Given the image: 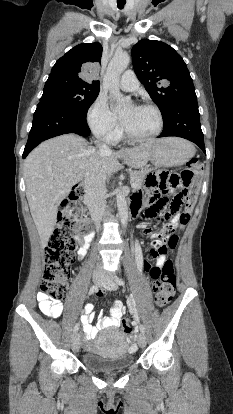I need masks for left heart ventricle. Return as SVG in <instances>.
Instances as JSON below:
<instances>
[{
	"label": "left heart ventricle",
	"instance_id": "left-heart-ventricle-1",
	"mask_svg": "<svg viewBox=\"0 0 233 414\" xmlns=\"http://www.w3.org/2000/svg\"><path fill=\"white\" fill-rule=\"evenodd\" d=\"M126 127L135 135L148 136L158 128V116L149 108L128 105L120 112Z\"/></svg>",
	"mask_w": 233,
	"mask_h": 414
}]
</instances>
